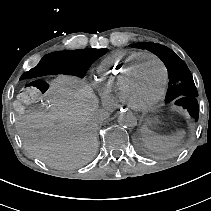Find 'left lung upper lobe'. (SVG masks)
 <instances>
[{
	"label": "left lung upper lobe",
	"mask_w": 211,
	"mask_h": 211,
	"mask_svg": "<svg viewBox=\"0 0 211 211\" xmlns=\"http://www.w3.org/2000/svg\"><path fill=\"white\" fill-rule=\"evenodd\" d=\"M131 47L147 49L156 54L168 70L169 86L165 102L175 101L176 105L186 108L189 114L198 120V92L192 74L187 65L171 49L152 42L131 44Z\"/></svg>",
	"instance_id": "1"
}]
</instances>
